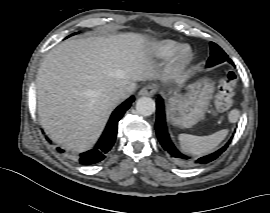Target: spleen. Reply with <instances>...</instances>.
Segmentation results:
<instances>
[{"label":"spleen","instance_id":"obj_1","mask_svg":"<svg viewBox=\"0 0 270 213\" xmlns=\"http://www.w3.org/2000/svg\"><path fill=\"white\" fill-rule=\"evenodd\" d=\"M228 130L223 129L208 136L180 134L178 139L181 148L193 155H205L216 148L227 136Z\"/></svg>","mask_w":270,"mask_h":213}]
</instances>
